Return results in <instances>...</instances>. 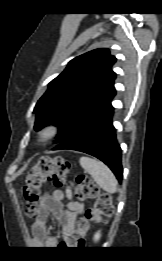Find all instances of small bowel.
<instances>
[{"label":"small bowel","instance_id":"obj_1","mask_svg":"<svg viewBox=\"0 0 162 261\" xmlns=\"http://www.w3.org/2000/svg\"><path fill=\"white\" fill-rule=\"evenodd\" d=\"M67 200L66 209L63 201ZM40 215L32 226L34 242H43L47 248H55L58 245L56 236L46 235V222L49 215L54 216L62 226V234L67 239L75 228L77 216L82 212V204L73 199L70 186L64 190L56 189L51 195H45L40 204Z\"/></svg>","mask_w":162,"mask_h":261}]
</instances>
